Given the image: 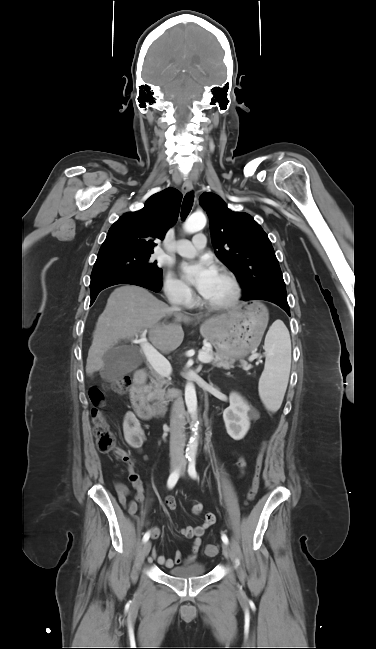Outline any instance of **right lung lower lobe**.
<instances>
[{
  "instance_id": "right-lung-lower-lobe-1",
  "label": "right lung lower lobe",
  "mask_w": 376,
  "mask_h": 649,
  "mask_svg": "<svg viewBox=\"0 0 376 649\" xmlns=\"http://www.w3.org/2000/svg\"><path fill=\"white\" fill-rule=\"evenodd\" d=\"M132 284L147 288L154 292L161 290V279H155L143 274H131L125 272H109L97 277H92L90 282L91 304L103 289L116 284Z\"/></svg>"
}]
</instances>
